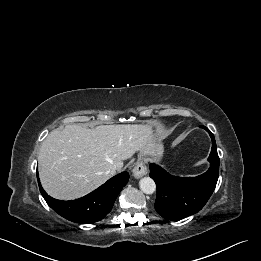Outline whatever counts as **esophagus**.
<instances>
[{"instance_id": "esophagus-1", "label": "esophagus", "mask_w": 261, "mask_h": 261, "mask_svg": "<svg viewBox=\"0 0 261 261\" xmlns=\"http://www.w3.org/2000/svg\"><path fill=\"white\" fill-rule=\"evenodd\" d=\"M132 173L135 178L139 179L147 174V167L141 160H138L134 164Z\"/></svg>"}]
</instances>
